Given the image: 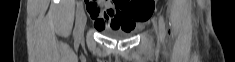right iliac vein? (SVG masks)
<instances>
[{
  "label": "right iliac vein",
  "instance_id": "63e3f726",
  "mask_svg": "<svg viewBox=\"0 0 235 62\" xmlns=\"http://www.w3.org/2000/svg\"><path fill=\"white\" fill-rule=\"evenodd\" d=\"M86 20H87L86 15L82 14L80 22H79L78 29H77V33H76V36H75V38L77 40L80 39L83 35L84 29H85V26H86Z\"/></svg>",
  "mask_w": 235,
  "mask_h": 62
}]
</instances>
